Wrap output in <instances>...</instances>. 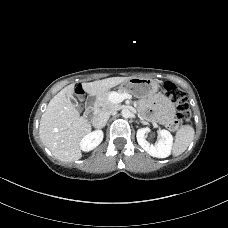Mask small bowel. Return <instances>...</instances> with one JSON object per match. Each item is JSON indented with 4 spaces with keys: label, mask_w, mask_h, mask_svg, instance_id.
<instances>
[{
    "label": "small bowel",
    "mask_w": 228,
    "mask_h": 228,
    "mask_svg": "<svg viewBox=\"0 0 228 228\" xmlns=\"http://www.w3.org/2000/svg\"><path fill=\"white\" fill-rule=\"evenodd\" d=\"M143 106L152 111L153 116L165 125L168 123L167 115L174 109L173 104L161 95H156L148 104H144Z\"/></svg>",
    "instance_id": "obj_1"
}]
</instances>
